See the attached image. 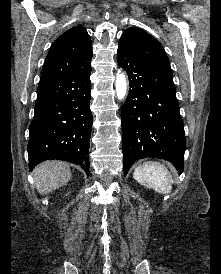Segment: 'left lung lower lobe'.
Returning a JSON list of instances; mask_svg holds the SVG:
<instances>
[{"mask_svg":"<svg viewBox=\"0 0 221 274\" xmlns=\"http://www.w3.org/2000/svg\"><path fill=\"white\" fill-rule=\"evenodd\" d=\"M117 61L130 82L121 108L124 173L146 157L165 159L182 173L186 138L172 73L119 48Z\"/></svg>","mask_w":221,"mask_h":274,"instance_id":"0a47b994","label":"left lung lower lobe"}]
</instances>
